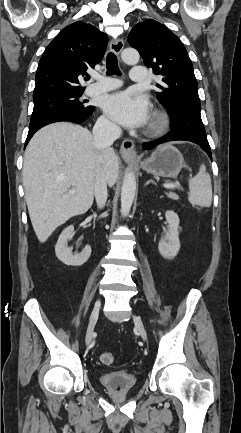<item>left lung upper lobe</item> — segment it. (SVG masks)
Masks as SVG:
<instances>
[{
  "label": "left lung upper lobe",
  "instance_id": "left-lung-upper-lobe-1",
  "mask_svg": "<svg viewBox=\"0 0 241 433\" xmlns=\"http://www.w3.org/2000/svg\"><path fill=\"white\" fill-rule=\"evenodd\" d=\"M128 40L145 65L163 76L157 84L162 91L156 95L171 117L172 131L209 144L193 65L179 38L161 23L147 19L133 27Z\"/></svg>",
  "mask_w": 241,
  "mask_h": 433
}]
</instances>
